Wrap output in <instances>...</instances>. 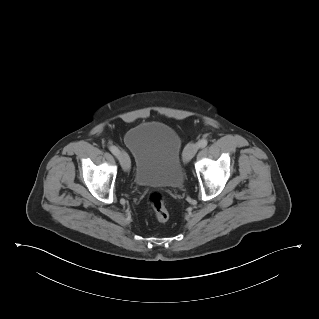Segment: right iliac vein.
I'll return each instance as SVG.
<instances>
[{
    "label": "right iliac vein",
    "instance_id": "right-iliac-vein-1",
    "mask_svg": "<svg viewBox=\"0 0 319 319\" xmlns=\"http://www.w3.org/2000/svg\"><path fill=\"white\" fill-rule=\"evenodd\" d=\"M119 161L124 171H129L130 169V159L125 151L119 152Z\"/></svg>",
    "mask_w": 319,
    "mask_h": 319
}]
</instances>
